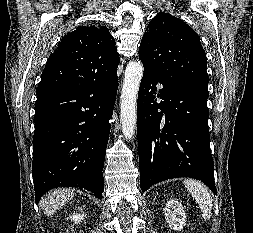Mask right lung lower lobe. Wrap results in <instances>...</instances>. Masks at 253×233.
<instances>
[{
	"instance_id": "1",
	"label": "right lung lower lobe",
	"mask_w": 253,
	"mask_h": 233,
	"mask_svg": "<svg viewBox=\"0 0 253 233\" xmlns=\"http://www.w3.org/2000/svg\"><path fill=\"white\" fill-rule=\"evenodd\" d=\"M117 71L86 84L37 95L32 175L36 204L57 187H83L98 198L110 133Z\"/></svg>"
}]
</instances>
